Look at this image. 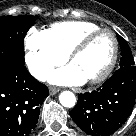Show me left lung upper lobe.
Instances as JSON below:
<instances>
[{
    "instance_id": "1",
    "label": "left lung upper lobe",
    "mask_w": 136,
    "mask_h": 136,
    "mask_svg": "<svg viewBox=\"0 0 136 136\" xmlns=\"http://www.w3.org/2000/svg\"><path fill=\"white\" fill-rule=\"evenodd\" d=\"M117 38L121 47V60H120V68L135 66V62L132 56V52L127 42L117 34Z\"/></svg>"
}]
</instances>
